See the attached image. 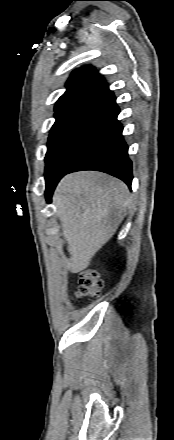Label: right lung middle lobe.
I'll use <instances>...</instances> for the list:
<instances>
[{
    "label": "right lung middle lobe",
    "instance_id": "obj_1",
    "mask_svg": "<svg viewBox=\"0 0 174 440\" xmlns=\"http://www.w3.org/2000/svg\"><path fill=\"white\" fill-rule=\"evenodd\" d=\"M91 98L55 113L45 157L46 186L58 182L83 150L99 110Z\"/></svg>",
    "mask_w": 174,
    "mask_h": 440
}]
</instances>
